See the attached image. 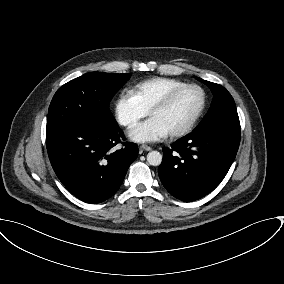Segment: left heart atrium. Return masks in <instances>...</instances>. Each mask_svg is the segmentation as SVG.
Returning a JSON list of instances; mask_svg holds the SVG:
<instances>
[{"mask_svg":"<svg viewBox=\"0 0 284 284\" xmlns=\"http://www.w3.org/2000/svg\"><path fill=\"white\" fill-rule=\"evenodd\" d=\"M166 135V130L152 117L134 126L129 131V137L136 142L156 141Z\"/></svg>","mask_w":284,"mask_h":284,"instance_id":"1","label":"left heart atrium"}]
</instances>
